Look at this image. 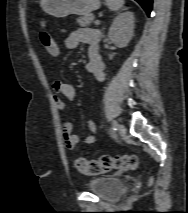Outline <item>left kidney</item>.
<instances>
[{"label":"left kidney","instance_id":"obj_1","mask_svg":"<svg viewBox=\"0 0 188 213\" xmlns=\"http://www.w3.org/2000/svg\"><path fill=\"white\" fill-rule=\"evenodd\" d=\"M134 14L124 12L117 16L108 32L110 40L120 48L126 47L131 41L134 33Z\"/></svg>","mask_w":188,"mask_h":213}]
</instances>
